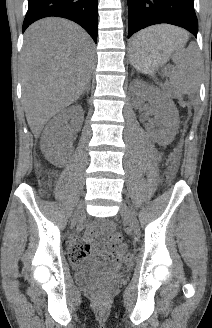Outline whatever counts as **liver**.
<instances>
[{
	"label": "liver",
	"mask_w": 212,
	"mask_h": 328,
	"mask_svg": "<svg viewBox=\"0 0 212 328\" xmlns=\"http://www.w3.org/2000/svg\"><path fill=\"white\" fill-rule=\"evenodd\" d=\"M173 29L188 38L183 30ZM93 59L91 37L72 21L50 17L27 29L20 72L26 119L35 137L53 115L82 95Z\"/></svg>",
	"instance_id": "liver-1"
}]
</instances>
